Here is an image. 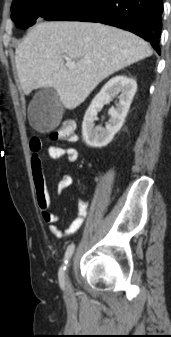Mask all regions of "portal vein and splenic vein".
<instances>
[{
    "label": "portal vein and splenic vein",
    "mask_w": 171,
    "mask_h": 337,
    "mask_svg": "<svg viewBox=\"0 0 171 337\" xmlns=\"http://www.w3.org/2000/svg\"><path fill=\"white\" fill-rule=\"evenodd\" d=\"M66 59V66L70 69H73L76 67L75 63L72 62L71 60H69L68 58H65Z\"/></svg>",
    "instance_id": "18ae733b"
}]
</instances>
